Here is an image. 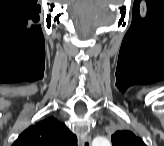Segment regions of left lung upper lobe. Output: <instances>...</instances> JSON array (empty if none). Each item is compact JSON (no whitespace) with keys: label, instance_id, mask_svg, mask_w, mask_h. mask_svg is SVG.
Listing matches in <instances>:
<instances>
[{"label":"left lung upper lobe","instance_id":"5c2ea615","mask_svg":"<svg viewBox=\"0 0 164 146\" xmlns=\"http://www.w3.org/2000/svg\"><path fill=\"white\" fill-rule=\"evenodd\" d=\"M111 140L113 146H145L143 140L128 130L116 131Z\"/></svg>","mask_w":164,"mask_h":146}]
</instances>
